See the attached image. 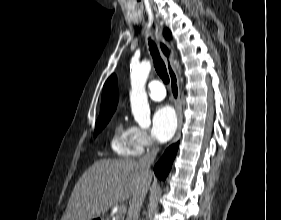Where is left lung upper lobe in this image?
<instances>
[{
  "label": "left lung upper lobe",
  "mask_w": 281,
  "mask_h": 220,
  "mask_svg": "<svg viewBox=\"0 0 281 220\" xmlns=\"http://www.w3.org/2000/svg\"><path fill=\"white\" fill-rule=\"evenodd\" d=\"M164 35H165L166 38H169V37H170V32H169L168 29H165V30H164Z\"/></svg>",
  "instance_id": "5c2ea615"
}]
</instances>
